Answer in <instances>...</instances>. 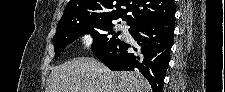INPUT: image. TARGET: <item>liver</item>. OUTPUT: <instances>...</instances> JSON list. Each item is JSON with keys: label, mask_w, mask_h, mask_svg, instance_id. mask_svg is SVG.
<instances>
[{"label": "liver", "mask_w": 225, "mask_h": 92, "mask_svg": "<svg viewBox=\"0 0 225 92\" xmlns=\"http://www.w3.org/2000/svg\"><path fill=\"white\" fill-rule=\"evenodd\" d=\"M46 92H151L148 81L132 71H111L90 57H77L52 69Z\"/></svg>", "instance_id": "liver-1"}]
</instances>
